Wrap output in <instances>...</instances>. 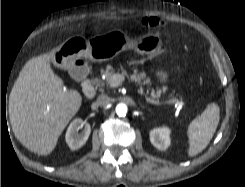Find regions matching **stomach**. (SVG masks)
<instances>
[{"instance_id":"1","label":"stomach","mask_w":245,"mask_h":187,"mask_svg":"<svg viewBox=\"0 0 245 187\" xmlns=\"http://www.w3.org/2000/svg\"><path fill=\"white\" fill-rule=\"evenodd\" d=\"M162 45L158 33L150 32L136 39H130L121 30H112L90 39L71 37L52 51V63L59 68H69L81 57L94 62H105L120 52L133 49L141 55L157 53Z\"/></svg>"}]
</instances>
